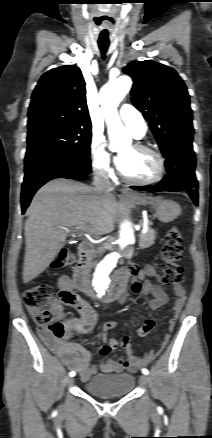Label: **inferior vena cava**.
<instances>
[{"label":"inferior vena cava","instance_id":"1","mask_svg":"<svg viewBox=\"0 0 212 438\" xmlns=\"http://www.w3.org/2000/svg\"><path fill=\"white\" fill-rule=\"evenodd\" d=\"M93 185L94 190L99 193H109L114 190L107 172L99 168L95 169Z\"/></svg>","mask_w":212,"mask_h":438}]
</instances>
